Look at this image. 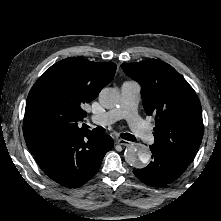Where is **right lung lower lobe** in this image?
<instances>
[{"label":"right lung lower lobe","instance_id":"98d812e1","mask_svg":"<svg viewBox=\"0 0 221 221\" xmlns=\"http://www.w3.org/2000/svg\"><path fill=\"white\" fill-rule=\"evenodd\" d=\"M109 135L82 131L33 153L43 172L58 184L78 188L98 171L113 148Z\"/></svg>","mask_w":221,"mask_h":221}]
</instances>
